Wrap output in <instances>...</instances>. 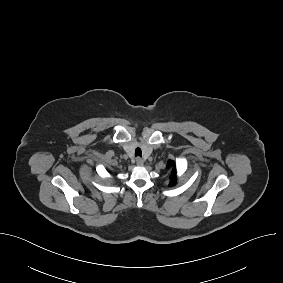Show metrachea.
I'll return each instance as SVG.
<instances>
[{
  "label": "trachea",
  "mask_w": 283,
  "mask_h": 283,
  "mask_svg": "<svg viewBox=\"0 0 283 283\" xmlns=\"http://www.w3.org/2000/svg\"><path fill=\"white\" fill-rule=\"evenodd\" d=\"M135 156H142V151H141V149L140 148H136V150H135Z\"/></svg>",
  "instance_id": "obj_1"
}]
</instances>
